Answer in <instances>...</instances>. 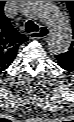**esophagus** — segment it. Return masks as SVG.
<instances>
[{
	"label": "esophagus",
	"instance_id": "obj_1",
	"mask_svg": "<svg viewBox=\"0 0 74 122\" xmlns=\"http://www.w3.org/2000/svg\"><path fill=\"white\" fill-rule=\"evenodd\" d=\"M49 33V30L45 26H41L39 31L30 33V37L33 39L45 38Z\"/></svg>",
	"mask_w": 74,
	"mask_h": 122
}]
</instances>
